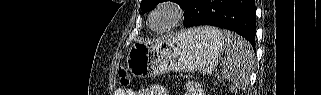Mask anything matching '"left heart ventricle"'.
<instances>
[{
  "label": "left heart ventricle",
  "mask_w": 321,
  "mask_h": 95,
  "mask_svg": "<svg viewBox=\"0 0 321 95\" xmlns=\"http://www.w3.org/2000/svg\"><path fill=\"white\" fill-rule=\"evenodd\" d=\"M158 26H161L163 24V20H160L156 23Z\"/></svg>",
  "instance_id": "left-heart-ventricle-1"
}]
</instances>
